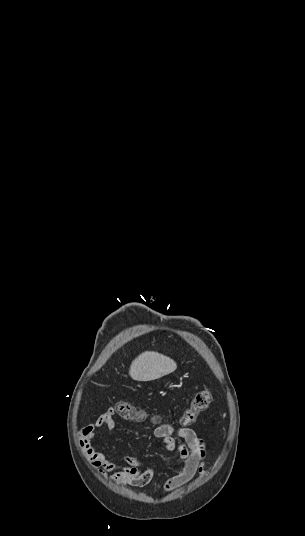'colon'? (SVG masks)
Listing matches in <instances>:
<instances>
[{
	"label": "colon",
	"instance_id": "1",
	"mask_svg": "<svg viewBox=\"0 0 305 536\" xmlns=\"http://www.w3.org/2000/svg\"><path fill=\"white\" fill-rule=\"evenodd\" d=\"M213 400L212 394L209 390L198 391L193 401L186 408L183 414V424L193 425L198 417L209 409V406ZM115 414L129 416L131 418H137L143 414L142 410L137 408L134 404L128 401H121L114 405Z\"/></svg>",
	"mask_w": 305,
	"mask_h": 536
}]
</instances>
